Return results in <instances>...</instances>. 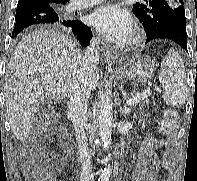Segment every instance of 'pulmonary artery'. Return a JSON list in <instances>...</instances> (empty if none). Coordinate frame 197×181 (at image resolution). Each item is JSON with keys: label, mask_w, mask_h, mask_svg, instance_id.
I'll return each mask as SVG.
<instances>
[{"label": "pulmonary artery", "mask_w": 197, "mask_h": 181, "mask_svg": "<svg viewBox=\"0 0 197 181\" xmlns=\"http://www.w3.org/2000/svg\"><path fill=\"white\" fill-rule=\"evenodd\" d=\"M103 0H78L74 5H73V10H79L83 8H87L89 6L96 5Z\"/></svg>", "instance_id": "1"}]
</instances>
